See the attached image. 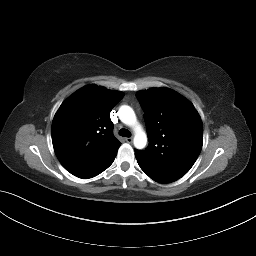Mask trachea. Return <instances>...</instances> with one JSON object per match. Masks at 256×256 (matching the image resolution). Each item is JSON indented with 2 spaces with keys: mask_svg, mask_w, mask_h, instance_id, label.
<instances>
[{
  "mask_svg": "<svg viewBox=\"0 0 256 256\" xmlns=\"http://www.w3.org/2000/svg\"><path fill=\"white\" fill-rule=\"evenodd\" d=\"M119 135L123 136V137H130L131 136V132L125 128L120 129L119 131Z\"/></svg>",
  "mask_w": 256,
  "mask_h": 256,
  "instance_id": "3493384b",
  "label": "trachea"
}]
</instances>
